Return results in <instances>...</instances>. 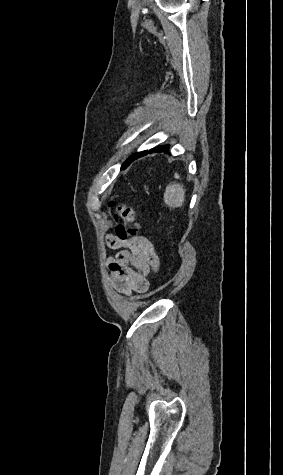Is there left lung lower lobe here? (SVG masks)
I'll list each match as a JSON object with an SVG mask.
<instances>
[{"instance_id": "1", "label": "left lung lower lobe", "mask_w": 283, "mask_h": 475, "mask_svg": "<svg viewBox=\"0 0 283 475\" xmlns=\"http://www.w3.org/2000/svg\"><path fill=\"white\" fill-rule=\"evenodd\" d=\"M169 151V145H162L158 146L156 148L150 149L149 151H142L139 153H134L132 156H130L122 165L121 169L124 170L127 166L130 165V163L148 153H153V152H168Z\"/></svg>"}]
</instances>
